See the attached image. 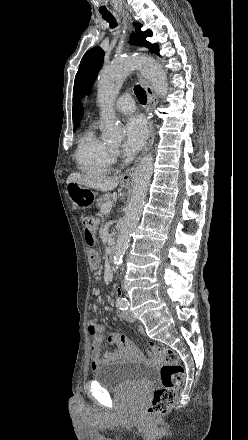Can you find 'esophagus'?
<instances>
[{
  "instance_id": "esophagus-1",
  "label": "esophagus",
  "mask_w": 248,
  "mask_h": 440,
  "mask_svg": "<svg viewBox=\"0 0 248 440\" xmlns=\"http://www.w3.org/2000/svg\"><path fill=\"white\" fill-rule=\"evenodd\" d=\"M121 15L123 17L124 22L129 25V34H131L132 30H133L131 17H129L128 14L124 11L121 13ZM137 76H138V79H139L142 87L145 89V91L147 93V97H148V104H147V113L149 115V117H148L149 118L148 138H147L145 147H144L141 155L135 161L134 165L124 172V174L122 175V180H129L133 176L135 167L138 165L142 156L145 155L147 153V151L150 149V146H151L153 139H154V121L151 118V114H152V111L156 105V95L154 93V89H153L151 82L148 79H146L140 72L137 73Z\"/></svg>"
}]
</instances>
